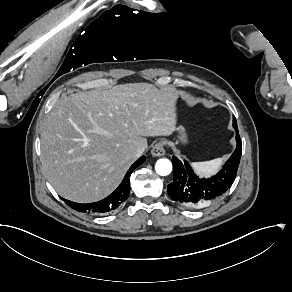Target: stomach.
Returning a JSON list of instances; mask_svg holds the SVG:
<instances>
[{"mask_svg":"<svg viewBox=\"0 0 292 292\" xmlns=\"http://www.w3.org/2000/svg\"><path fill=\"white\" fill-rule=\"evenodd\" d=\"M178 130V139L182 142V143H186L187 142V134L185 132V128L183 126H179L177 128Z\"/></svg>","mask_w":292,"mask_h":292,"instance_id":"1","label":"stomach"}]
</instances>
